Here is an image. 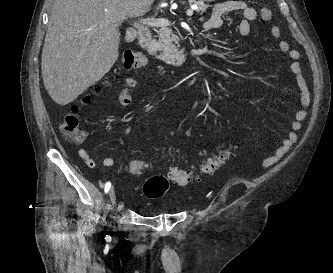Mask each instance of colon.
<instances>
[{
  "label": "colon",
  "instance_id": "obj_1",
  "mask_svg": "<svg viewBox=\"0 0 333 273\" xmlns=\"http://www.w3.org/2000/svg\"><path fill=\"white\" fill-rule=\"evenodd\" d=\"M272 17L273 13L270 8L264 7L260 10V20L263 24L270 22ZM146 64L147 58L135 51H125L121 58V67L126 70L144 67ZM99 89L100 86L96 88V91H99ZM89 100V95L83 98V102H88ZM78 113L79 106L73 105L61 124L63 135L73 142H81L85 137ZM232 156V149L223 150L216 156L204 161L200 166V171L205 174H212ZM126 168L130 176L141 177L147 168V162L143 159H134L127 163ZM169 178L180 186H186L195 180L197 176L192 171L172 168L169 171ZM168 187L169 181L166 176L154 175L145 181L142 190L147 198H159L165 194Z\"/></svg>",
  "mask_w": 333,
  "mask_h": 273
}]
</instances>
